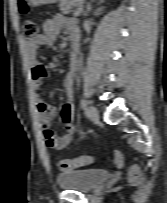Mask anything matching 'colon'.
<instances>
[{
    "label": "colon",
    "mask_w": 167,
    "mask_h": 203,
    "mask_svg": "<svg viewBox=\"0 0 167 203\" xmlns=\"http://www.w3.org/2000/svg\"><path fill=\"white\" fill-rule=\"evenodd\" d=\"M19 9L22 14H27L29 12V7L24 0H19ZM40 27L36 20L26 19L23 24V34L27 40H32L39 35ZM113 157L117 165L122 164V156L118 151H114ZM94 162V158L91 156L81 157L79 159L68 160L61 159L58 161L57 166L62 171L71 170L79 166L88 165ZM139 177V168L137 165H132L129 168L128 179L130 181H135Z\"/></svg>",
    "instance_id": "colon-1"
}]
</instances>
